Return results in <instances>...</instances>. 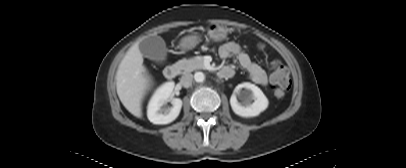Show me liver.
I'll use <instances>...</instances> for the list:
<instances>
[{"mask_svg": "<svg viewBox=\"0 0 406 168\" xmlns=\"http://www.w3.org/2000/svg\"><path fill=\"white\" fill-rule=\"evenodd\" d=\"M117 94L124 107L135 117H142V101L152 85V79L143 65L139 45L129 48L116 72Z\"/></svg>", "mask_w": 406, "mask_h": 168, "instance_id": "1", "label": "liver"}]
</instances>
